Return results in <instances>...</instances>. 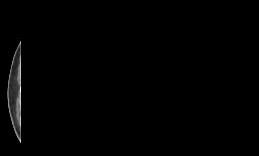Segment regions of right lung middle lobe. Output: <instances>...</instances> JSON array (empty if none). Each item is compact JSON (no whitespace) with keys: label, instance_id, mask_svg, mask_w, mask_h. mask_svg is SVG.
<instances>
[{"label":"right lung middle lobe","instance_id":"dd1d6c3e","mask_svg":"<svg viewBox=\"0 0 259 156\" xmlns=\"http://www.w3.org/2000/svg\"><path fill=\"white\" fill-rule=\"evenodd\" d=\"M90 4L96 5V4H98V1H90ZM62 19L64 21V25H67L71 21L70 19L68 20L67 18H65V16L63 14H61L57 20H62ZM85 26L88 28H93L95 26V23L91 22V21H86Z\"/></svg>","mask_w":259,"mask_h":156}]
</instances>
